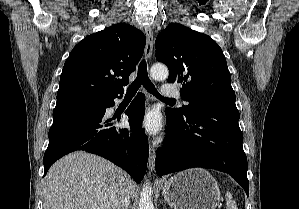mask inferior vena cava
<instances>
[{"label":"inferior vena cava","mask_w":299,"mask_h":209,"mask_svg":"<svg viewBox=\"0 0 299 209\" xmlns=\"http://www.w3.org/2000/svg\"><path fill=\"white\" fill-rule=\"evenodd\" d=\"M130 204V192L128 188H124L118 209H128Z\"/></svg>","instance_id":"obj_1"}]
</instances>
